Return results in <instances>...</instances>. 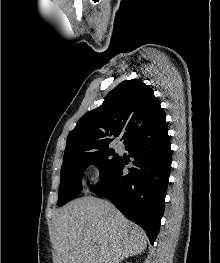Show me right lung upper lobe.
<instances>
[{
  "label": "right lung upper lobe",
  "mask_w": 220,
  "mask_h": 263,
  "mask_svg": "<svg viewBox=\"0 0 220 263\" xmlns=\"http://www.w3.org/2000/svg\"><path fill=\"white\" fill-rule=\"evenodd\" d=\"M167 130L165 113L153 90L140 79L125 80L101 106L78 121L68 135L65 153L109 148L120 135L126 145L139 136L154 137Z\"/></svg>",
  "instance_id": "1"
}]
</instances>
